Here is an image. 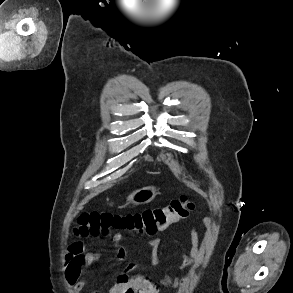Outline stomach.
<instances>
[{
  "label": "stomach",
  "instance_id": "1",
  "mask_svg": "<svg viewBox=\"0 0 293 293\" xmlns=\"http://www.w3.org/2000/svg\"><path fill=\"white\" fill-rule=\"evenodd\" d=\"M156 193L155 187H145L130 194L127 198V202L128 204L134 205L149 203L155 198Z\"/></svg>",
  "mask_w": 293,
  "mask_h": 293
}]
</instances>
